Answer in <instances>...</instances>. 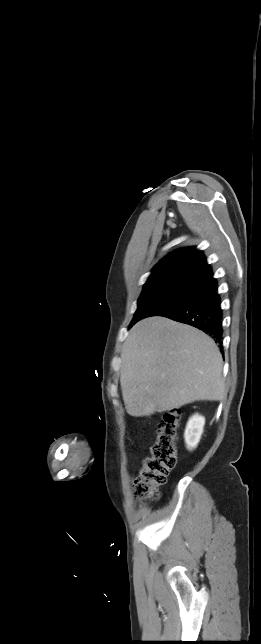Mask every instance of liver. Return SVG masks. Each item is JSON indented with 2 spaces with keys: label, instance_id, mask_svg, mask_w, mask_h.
<instances>
[{
  "label": "liver",
  "instance_id": "obj_1",
  "mask_svg": "<svg viewBox=\"0 0 261 644\" xmlns=\"http://www.w3.org/2000/svg\"><path fill=\"white\" fill-rule=\"evenodd\" d=\"M120 384L134 417L162 413L225 396L223 361L213 339L165 317L136 323L121 352Z\"/></svg>",
  "mask_w": 261,
  "mask_h": 644
}]
</instances>
